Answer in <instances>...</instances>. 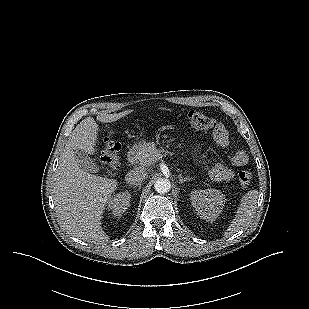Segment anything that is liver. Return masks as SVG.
Here are the masks:
<instances>
[{"instance_id":"1","label":"liver","mask_w":309,"mask_h":309,"mask_svg":"<svg viewBox=\"0 0 309 309\" xmlns=\"http://www.w3.org/2000/svg\"><path fill=\"white\" fill-rule=\"evenodd\" d=\"M131 112L102 114L97 119L102 123H111ZM97 136L98 125L92 117L82 120L73 130L55 171L53 200L62 226L72 236L103 244L109 238L101 227L102 214L117 189V181L89 174L79 167L74 157L75 150L94 154Z\"/></svg>"}]
</instances>
